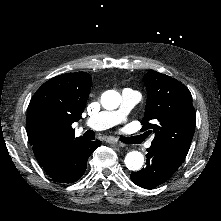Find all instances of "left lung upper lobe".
<instances>
[{"label":"left lung upper lobe","instance_id":"5c2ea615","mask_svg":"<svg viewBox=\"0 0 221 221\" xmlns=\"http://www.w3.org/2000/svg\"><path fill=\"white\" fill-rule=\"evenodd\" d=\"M144 83L148 97L141 131L153 132L151 146L162 149L173 162L181 165L196 124L191 93L178 80L156 71H149Z\"/></svg>","mask_w":221,"mask_h":221}]
</instances>
